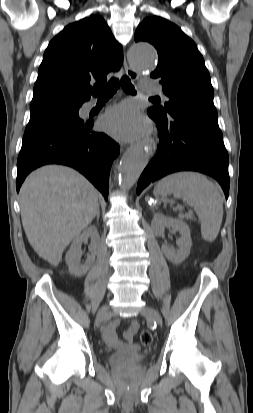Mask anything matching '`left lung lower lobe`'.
<instances>
[{
	"instance_id": "left-lung-lower-lobe-1",
	"label": "left lung lower lobe",
	"mask_w": 253,
	"mask_h": 413,
	"mask_svg": "<svg viewBox=\"0 0 253 413\" xmlns=\"http://www.w3.org/2000/svg\"><path fill=\"white\" fill-rule=\"evenodd\" d=\"M159 146L156 156L143 171L137 194L150 183L177 171H198L214 177L229 195L228 153L224 146L218 118L177 113L167 119L157 118Z\"/></svg>"
}]
</instances>
